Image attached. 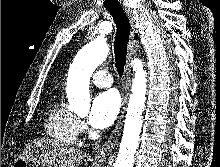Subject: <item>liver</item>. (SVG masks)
Segmentation results:
<instances>
[{
	"mask_svg": "<svg viewBox=\"0 0 220 167\" xmlns=\"http://www.w3.org/2000/svg\"><path fill=\"white\" fill-rule=\"evenodd\" d=\"M20 156L29 159L40 167H79L84 159V152L75 148L60 145L51 139H35Z\"/></svg>",
	"mask_w": 220,
	"mask_h": 167,
	"instance_id": "1",
	"label": "liver"
}]
</instances>
